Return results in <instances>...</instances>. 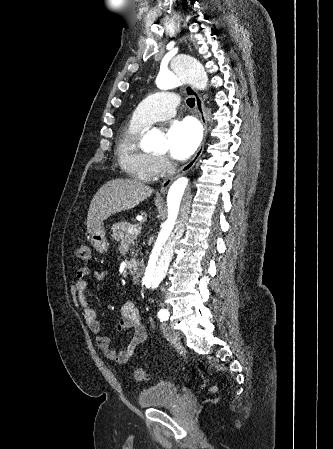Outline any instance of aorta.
I'll use <instances>...</instances> for the list:
<instances>
[{"label": "aorta", "instance_id": "1", "mask_svg": "<svg viewBox=\"0 0 333 449\" xmlns=\"http://www.w3.org/2000/svg\"><path fill=\"white\" fill-rule=\"evenodd\" d=\"M169 66L171 69L162 71L157 76L160 89L183 84H190L199 90L207 88V73L197 59L190 56L174 57ZM144 140L153 150L167 149V142L158 131H148ZM193 185V179L181 177L175 180L168 190V218L158 231L144 276V284L148 290L157 288L166 275L174 247L183 235L184 225L189 217Z\"/></svg>", "mask_w": 333, "mask_h": 449}]
</instances>
